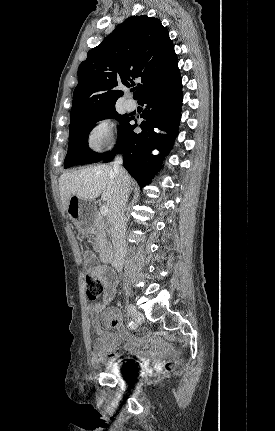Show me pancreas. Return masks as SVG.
<instances>
[{
	"label": "pancreas",
	"mask_w": 275,
	"mask_h": 431,
	"mask_svg": "<svg viewBox=\"0 0 275 431\" xmlns=\"http://www.w3.org/2000/svg\"><path fill=\"white\" fill-rule=\"evenodd\" d=\"M107 226L101 215L96 214L94 218V227L92 229L94 250L99 252L107 244Z\"/></svg>",
	"instance_id": "cf45deb5"
}]
</instances>
